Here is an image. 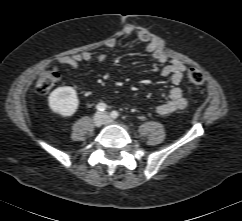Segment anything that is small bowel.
Segmentation results:
<instances>
[{
    "label": "small bowel",
    "instance_id": "1",
    "mask_svg": "<svg viewBox=\"0 0 242 221\" xmlns=\"http://www.w3.org/2000/svg\"><path fill=\"white\" fill-rule=\"evenodd\" d=\"M125 34L135 35L140 42L146 44V51L151 54L155 61L163 65L160 72L161 77H169L171 82L175 85L169 92V99L156 106V112L160 115H168L186 108L188 101L184 97L181 88L177 86L183 79L186 70L185 65L177 59H170L165 51L154 43L151 36L146 31L127 28L125 30ZM115 45L116 42L114 39H108L106 41V46L108 48H113ZM107 60L108 58L105 54L94 55L92 52L85 51L82 53L63 56L59 58L58 62L61 65L77 68L82 63H106Z\"/></svg>",
    "mask_w": 242,
    "mask_h": 221
}]
</instances>
